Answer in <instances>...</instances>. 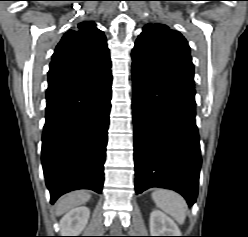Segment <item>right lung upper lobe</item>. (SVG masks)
Here are the masks:
<instances>
[{"instance_id":"cb5924a9","label":"right lung upper lobe","mask_w":248,"mask_h":237,"mask_svg":"<svg viewBox=\"0 0 248 237\" xmlns=\"http://www.w3.org/2000/svg\"><path fill=\"white\" fill-rule=\"evenodd\" d=\"M111 67L106 37L94 22H81L64 34L57 45L48 76V86L73 82Z\"/></svg>"}]
</instances>
